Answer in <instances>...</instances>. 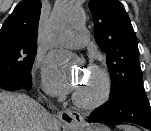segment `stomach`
Wrapping results in <instances>:
<instances>
[{"instance_id": "stomach-1", "label": "stomach", "mask_w": 151, "mask_h": 131, "mask_svg": "<svg viewBox=\"0 0 151 131\" xmlns=\"http://www.w3.org/2000/svg\"><path fill=\"white\" fill-rule=\"evenodd\" d=\"M75 131H110L107 126L104 125H93V126H88L86 124H81L79 126L73 127Z\"/></svg>"}]
</instances>
